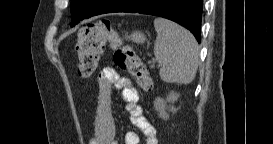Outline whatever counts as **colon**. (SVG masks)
Masks as SVG:
<instances>
[{
	"instance_id": "1",
	"label": "colon",
	"mask_w": 273,
	"mask_h": 144,
	"mask_svg": "<svg viewBox=\"0 0 273 144\" xmlns=\"http://www.w3.org/2000/svg\"><path fill=\"white\" fill-rule=\"evenodd\" d=\"M109 41L115 49V65L127 71L141 89L150 91L152 87L148 69L134 50L123 42L107 19L92 22L79 32L77 42L78 72L83 78L90 77L97 69L100 54L105 42Z\"/></svg>"
}]
</instances>
